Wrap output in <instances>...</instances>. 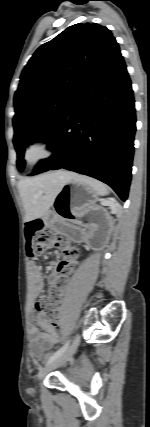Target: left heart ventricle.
I'll return each mask as SVG.
<instances>
[{
	"label": "left heart ventricle",
	"mask_w": 150,
	"mask_h": 427,
	"mask_svg": "<svg viewBox=\"0 0 150 427\" xmlns=\"http://www.w3.org/2000/svg\"><path fill=\"white\" fill-rule=\"evenodd\" d=\"M38 155H39V152H38V151H34V152H32V153H31L30 157H31V158H35V157H37Z\"/></svg>",
	"instance_id": "left-heart-ventricle-1"
}]
</instances>
